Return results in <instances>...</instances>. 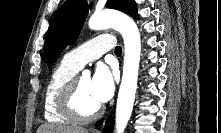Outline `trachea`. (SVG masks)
I'll list each match as a JSON object with an SVG mask.
<instances>
[{
    "label": "trachea",
    "instance_id": "3493384b",
    "mask_svg": "<svg viewBox=\"0 0 221 133\" xmlns=\"http://www.w3.org/2000/svg\"><path fill=\"white\" fill-rule=\"evenodd\" d=\"M121 52H122V48H121L120 46H117V47L115 48V54H116V55H121Z\"/></svg>",
    "mask_w": 221,
    "mask_h": 133
}]
</instances>
